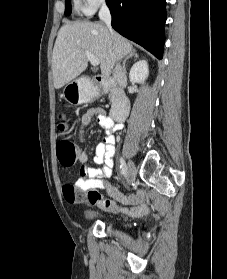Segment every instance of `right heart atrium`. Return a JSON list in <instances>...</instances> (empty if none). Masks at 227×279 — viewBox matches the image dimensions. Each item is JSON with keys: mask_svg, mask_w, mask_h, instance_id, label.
I'll return each mask as SVG.
<instances>
[{"mask_svg": "<svg viewBox=\"0 0 227 279\" xmlns=\"http://www.w3.org/2000/svg\"><path fill=\"white\" fill-rule=\"evenodd\" d=\"M77 6L86 14L94 13L99 7L105 4L106 0H75Z\"/></svg>", "mask_w": 227, "mask_h": 279, "instance_id": "d8ad5b80", "label": "right heart atrium"}]
</instances>
